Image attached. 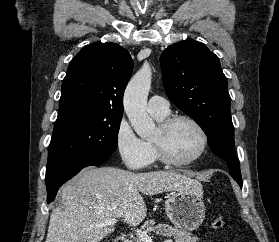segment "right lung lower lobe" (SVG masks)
Returning a JSON list of instances; mask_svg holds the SVG:
<instances>
[{"mask_svg": "<svg viewBox=\"0 0 279 242\" xmlns=\"http://www.w3.org/2000/svg\"><path fill=\"white\" fill-rule=\"evenodd\" d=\"M108 154H88L70 160L46 174L47 202L54 200L60 186L87 166H99L110 158Z\"/></svg>", "mask_w": 279, "mask_h": 242, "instance_id": "98d812e1", "label": "right lung lower lobe"}]
</instances>
